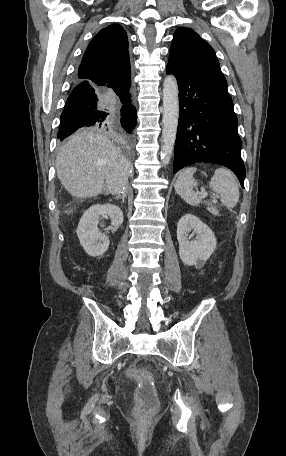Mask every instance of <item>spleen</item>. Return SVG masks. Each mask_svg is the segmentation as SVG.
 Masks as SVG:
<instances>
[{
    "label": "spleen",
    "instance_id": "3e777b00",
    "mask_svg": "<svg viewBox=\"0 0 286 456\" xmlns=\"http://www.w3.org/2000/svg\"><path fill=\"white\" fill-rule=\"evenodd\" d=\"M195 167L182 170L175 184V191L189 205L203 203L201 197L193 191L197 181L193 178ZM210 188L219 195L222 205L233 208L239 200V183L235 175L228 169L218 168L209 182ZM205 204L210 202L204 201Z\"/></svg>",
    "mask_w": 286,
    "mask_h": 456
}]
</instances>
